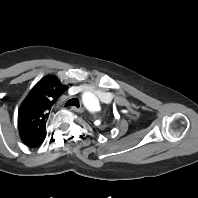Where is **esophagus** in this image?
Instances as JSON below:
<instances>
[{"instance_id": "1", "label": "esophagus", "mask_w": 198, "mask_h": 198, "mask_svg": "<svg viewBox=\"0 0 198 198\" xmlns=\"http://www.w3.org/2000/svg\"><path fill=\"white\" fill-rule=\"evenodd\" d=\"M71 110L78 112V113H82L84 111V107L80 106V107H76V106H72Z\"/></svg>"}]
</instances>
